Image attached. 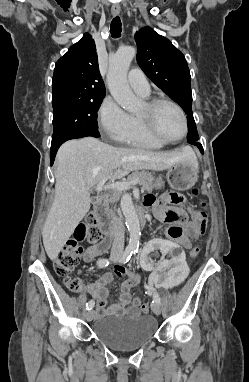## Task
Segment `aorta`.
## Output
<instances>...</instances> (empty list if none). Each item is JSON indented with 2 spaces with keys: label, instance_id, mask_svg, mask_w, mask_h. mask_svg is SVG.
Here are the masks:
<instances>
[{
  "label": "aorta",
  "instance_id": "1",
  "mask_svg": "<svg viewBox=\"0 0 249 382\" xmlns=\"http://www.w3.org/2000/svg\"><path fill=\"white\" fill-rule=\"evenodd\" d=\"M135 54L136 50L132 46L119 48L110 58L107 74L108 88L112 97L128 112L136 111L139 106V102L127 82V72ZM121 209L129 231L127 249L136 253L139 248L141 230L138 215L129 195H125L121 200Z\"/></svg>",
  "mask_w": 249,
  "mask_h": 382
}]
</instances>
